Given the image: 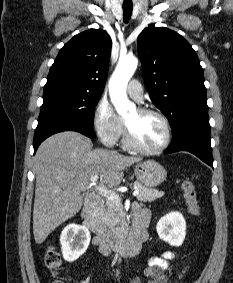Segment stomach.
<instances>
[{
  "label": "stomach",
  "instance_id": "stomach-1",
  "mask_svg": "<svg viewBox=\"0 0 233 283\" xmlns=\"http://www.w3.org/2000/svg\"><path fill=\"white\" fill-rule=\"evenodd\" d=\"M134 172L137 180L148 188L160 185L167 177L164 167L154 160L136 164Z\"/></svg>",
  "mask_w": 233,
  "mask_h": 283
}]
</instances>
